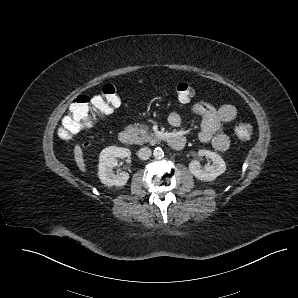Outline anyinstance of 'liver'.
<instances>
[{
	"instance_id": "liver-1",
	"label": "liver",
	"mask_w": 298,
	"mask_h": 298,
	"mask_svg": "<svg viewBox=\"0 0 298 298\" xmlns=\"http://www.w3.org/2000/svg\"><path fill=\"white\" fill-rule=\"evenodd\" d=\"M74 155H75V160H76L77 165L79 166V168L81 170H84L85 167H84V164H83L82 152H81V149H80L79 146L75 147Z\"/></svg>"
}]
</instances>
